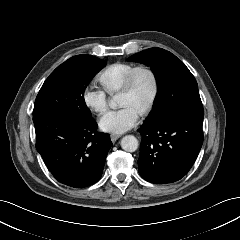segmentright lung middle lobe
Listing matches in <instances>:
<instances>
[{
	"label": "right lung middle lobe",
	"instance_id": "obj_1",
	"mask_svg": "<svg viewBox=\"0 0 240 240\" xmlns=\"http://www.w3.org/2000/svg\"><path fill=\"white\" fill-rule=\"evenodd\" d=\"M105 65V60L93 56L58 66L42 85L35 100L33 116L56 114L76 119L92 118L84 101V92L95 73Z\"/></svg>",
	"mask_w": 240,
	"mask_h": 240
}]
</instances>
